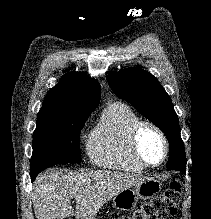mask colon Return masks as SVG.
I'll return each mask as SVG.
<instances>
[{
	"label": "colon",
	"mask_w": 211,
	"mask_h": 219,
	"mask_svg": "<svg viewBox=\"0 0 211 219\" xmlns=\"http://www.w3.org/2000/svg\"><path fill=\"white\" fill-rule=\"evenodd\" d=\"M180 199V185L173 183L170 188L160 196L142 204L130 215L120 219H165L175 216Z\"/></svg>",
	"instance_id": "5ec220e1"
}]
</instances>
